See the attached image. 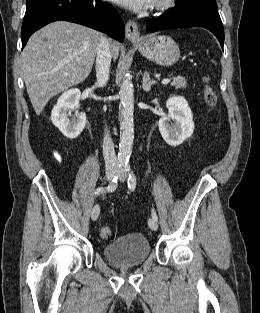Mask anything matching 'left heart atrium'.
Wrapping results in <instances>:
<instances>
[{
  "instance_id": "left-heart-atrium-1",
  "label": "left heart atrium",
  "mask_w": 260,
  "mask_h": 313,
  "mask_svg": "<svg viewBox=\"0 0 260 313\" xmlns=\"http://www.w3.org/2000/svg\"><path fill=\"white\" fill-rule=\"evenodd\" d=\"M133 11H142L153 5L155 0H111Z\"/></svg>"
}]
</instances>
